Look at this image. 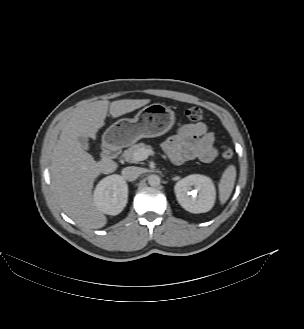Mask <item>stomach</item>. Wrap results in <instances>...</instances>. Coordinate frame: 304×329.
Listing matches in <instances>:
<instances>
[{"mask_svg":"<svg viewBox=\"0 0 304 329\" xmlns=\"http://www.w3.org/2000/svg\"><path fill=\"white\" fill-rule=\"evenodd\" d=\"M175 122L174 112L164 104L154 103L141 109L133 119L123 118L113 123L103 134L107 148H121L141 138L158 137L169 131Z\"/></svg>","mask_w":304,"mask_h":329,"instance_id":"1","label":"stomach"}]
</instances>
